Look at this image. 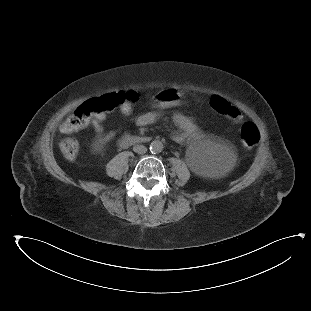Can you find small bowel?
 Instances as JSON below:
<instances>
[{
	"instance_id": "c3829d8e",
	"label": "small bowel",
	"mask_w": 311,
	"mask_h": 311,
	"mask_svg": "<svg viewBox=\"0 0 311 311\" xmlns=\"http://www.w3.org/2000/svg\"><path fill=\"white\" fill-rule=\"evenodd\" d=\"M165 116H169L179 128V130L173 135V140L176 143L194 144L204 139V132L195 123V121L191 117L186 116L180 112L164 110L148 111L140 114L136 118V122L140 126H148ZM105 119V113L96 114L91 119V125L98 138L104 142H110L114 138L115 133L104 132L103 122Z\"/></svg>"
}]
</instances>
